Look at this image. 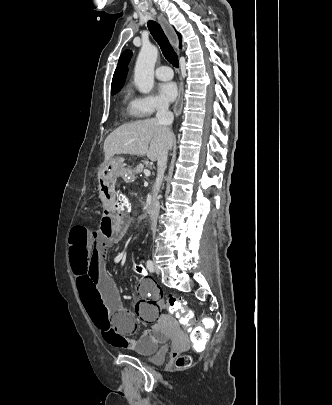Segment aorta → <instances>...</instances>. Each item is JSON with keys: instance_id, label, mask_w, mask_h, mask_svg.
<instances>
[{"instance_id": "1", "label": "aorta", "mask_w": 332, "mask_h": 405, "mask_svg": "<svg viewBox=\"0 0 332 405\" xmlns=\"http://www.w3.org/2000/svg\"><path fill=\"white\" fill-rule=\"evenodd\" d=\"M158 49L152 44H144L139 52L135 69L134 82L142 93H149L154 85V67Z\"/></svg>"}]
</instances>
